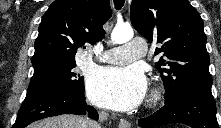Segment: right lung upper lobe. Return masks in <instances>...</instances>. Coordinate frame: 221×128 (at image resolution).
Returning <instances> with one entry per match:
<instances>
[{
	"label": "right lung upper lobe",
	"instance_id": "1",
	"mask_svg": "<svg viewBox=\"0 0 221 128\" xmlns=\"http://www.w3.org/2000/svg\"><path fill=\"white\" fill-rule=\"evenodd\" d=\"M109 0H56L43 15L32 58L34 74L75 62L78 48L104 37L111 17Z\"/></svg>",
	"mask_w": 221,
	"mask_h": 128
}]
</instances>
